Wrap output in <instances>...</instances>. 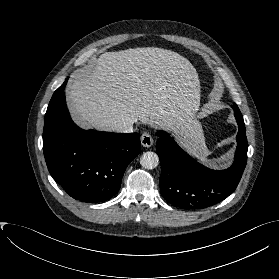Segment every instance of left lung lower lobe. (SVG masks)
I'll return each mask as SVG.
<instances>
[{"label":"left lung lower lobe","mask_w":279,"mask_h":279,"mask_svg":"<svg viewBox=\"0 0 279 279\" xmlns=\"http://www.w3.org/2000/svg\"><path fill=\"white\" fill-rule=\"evenodd\" d=\"M238 123L237 149L231 167L211 170L185 153L164 131H159L156 152L161 163L160 191L175 207L204 209L227 198L237 187L243 174L248 143L244 120Z\"/></svg>","instance_id":"0a47b994"}]
</instances>
